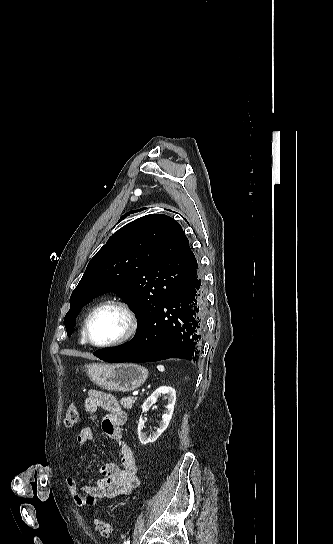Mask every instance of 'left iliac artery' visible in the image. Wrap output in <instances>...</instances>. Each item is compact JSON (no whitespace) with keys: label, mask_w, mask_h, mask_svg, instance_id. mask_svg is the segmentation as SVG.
Segmentation results:
<instances>
[{"label":"left iliac artery","mask_w":333,"mask_h":544,"mask_svg":"<svg viewBox=\"0 0 333 544\" xmlns=\"http://www.w3.org/2000/svg\"><path fill=\"white\" fill-rule=\"evenodd\" d=\"M124 544H130V540H129V539L126 540V541L124 542Z\"/></svg>","instance_id":"obj_1"}]
</instances>
